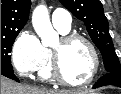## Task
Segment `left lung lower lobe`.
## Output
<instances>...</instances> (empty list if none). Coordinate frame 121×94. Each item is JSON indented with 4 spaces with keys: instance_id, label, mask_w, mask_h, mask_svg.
Listing matches in <instances>:
<instances>
[{
    "instance_id": "1",
    "label": "left lung lower lobe",
    "mask_w": 121,
    "mask_h": 94,
    "mask_svg": "<svg viewBox=\"0 0 121 94\" xmlns=\"http://www.w3.org/2000/svg\"><path fill=\"white\" fill-rule=\"evenodd\" d=\"M106 85L121 87V72H108L95 83L93 88H98Z\"/></svg>"
}]
</instances>
